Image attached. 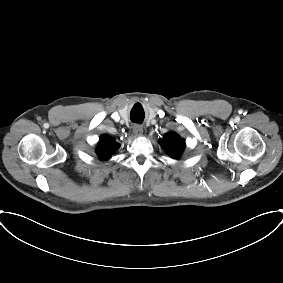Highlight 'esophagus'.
<instances>
[{"instance_id": "esophagus-1", "label": "esophagus", "mask_w": 283, "mask_h": 283, "mask_svg": "<svg viewBox=\"0 0 283 283\" xmlns=\"http://www.w3.org/2000/svg\"><path fill=\"white\" fill-rule=\"evenodd\" d=\"M133 132L135 135L139 136V135H142L143 133V128L141 125H134L133 126Z\"/></svg>"}]
</instances>
